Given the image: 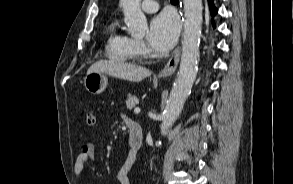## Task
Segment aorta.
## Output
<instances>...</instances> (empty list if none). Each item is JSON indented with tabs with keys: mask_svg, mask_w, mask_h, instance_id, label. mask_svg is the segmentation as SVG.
<instances>
[{
	"mask_svg": "<svg viewBox=\"0 0 293 184\" xmlns=\"http://www.w3.org/2000/svg\"><path fill=\"white\" fill-rule=\"evenodd\" d=\"M141 0H120L128 32L142 36L148 30V23L140 7ZM184 35L180 67L170 92L161 123V134L168 130L179 117L196 79L199 61V43L202 27V0H183Z\"/></svg>",
	"mask_w": 293,
	"mask_h": 184,
	"instance_id": "762f6f07",
	"label": "aorta"
}]
</instances>
